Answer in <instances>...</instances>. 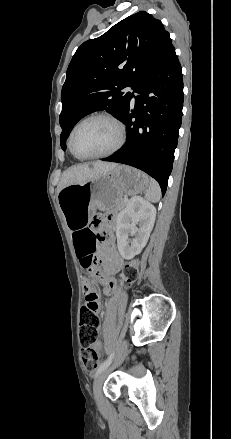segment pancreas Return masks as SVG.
<instances>
[{"label": "pancreas", "instance_id": "obj_1", "mask_svg": "<svg viewBox=\"0 0 231 439\" xmlns=\"http://www.w3.org/2000/svg\"><path fill=\"white\" fill-rule=\"evenodd\" d=\"M126 202L127 201L125 199L121 200L120 203L118 204V209L123 208L125 206Z\"/></svg>", "mask_w": 231, "mask_h": 439}]
</instances>
